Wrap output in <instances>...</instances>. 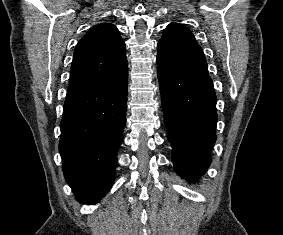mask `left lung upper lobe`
<instances>
[{
    "label": "left lung upper lobe",
    "instance_id": "obj_1",
    "mask_svg": "<svg viewBox=\"0 0 283 235\" xmlns=\"http://www.w3.org/2000/svg\"><path fill=\"white\" fill-rule=\"evenodd\" d=\"M157 63L166 67L208 75L202 48L185 26L171 23L158 43Z\"/></svg>",
    "mask_w": 283,
    "mask_h": 235
}]
</instances>
